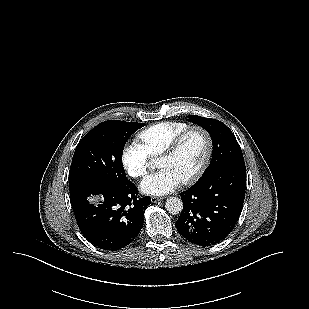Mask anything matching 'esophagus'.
I'll return each instance as SVG.
<instances>
[{
	"instance_id": "34e87169",
	"label": "esophagus",
	"mask_w": 309,
	"mask_h": 309,
	"mask_svg": "<svg viewBox=\"0 0 309 309\" xmlns=\"http://www.w3.org/2000/svg\"><path fill=\"white\" fill-rule=\"evenodd\" d=\"M162 199H163L162 197L152 196V197H151V202H152V203H156V202H158V201H160V200H162Z\"/></svg>"
}]
</instances>
